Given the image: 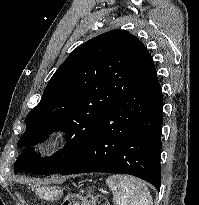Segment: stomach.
Returning <instances> with one entry per match:
<instances>
[{
    "mask_svg": "<svg viewBox=\"0 0 199 205\" xmlns=\"http://www.w3.org/2000/svg\"><path fill=\"white\" fill-rule=\"evenodd\" d=\"M35 190L37 195L44 200H58L63 194V189L58 186H39ZM81 192L84 191L81 190Z\"/></svg>",
    "mask_w": 199,
    "mask_h": 205,
    "instance_id": "0dacf381",
    "label": "stomach"
}]
</instances>
